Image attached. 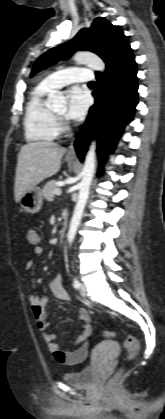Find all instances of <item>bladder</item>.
<instances>
[{
    "label": "bladder",
    "instance_id": "1",
    "mask_svg": "<svg viewBox=\"0 0 165 419\" xmlns=\"http://www.w3.org/2000/svg\"><path fill=\"white\" fill-rule=\"evenodd\" d=\"M62 380L69 386L80 389L93 388L98 380L99 375L93 365L85 366L78 370L66 372L62 375Z\"/></svg>",
    "mask_w": 165,
    "mask_h": 419
}]
</instances>
